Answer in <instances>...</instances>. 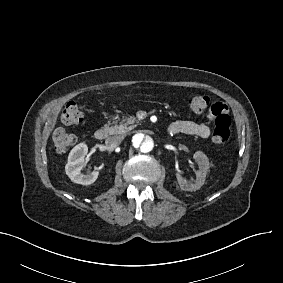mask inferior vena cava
<instances>
[{"instance_id": "602c4592", "label": "inferior vena cava", "mask_w": 283, "mask_h": 283, "mask_svg": "<svg viewBox=\"0 0 283 283\" xmlns=\"http://www.w3.org/2000/svg\"><path fill=\"white\" fill-rule=\"evenodd\" d=\"M123 137L120 135L117 136H110L106 139L105 143L109 147H117L120 142L122 141Z\"/></svg>"}]
</instances>
